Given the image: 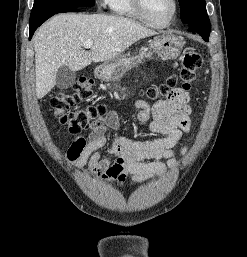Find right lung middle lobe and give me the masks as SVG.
Segmentation results:
<instances>
[{
  "mask_svg": "<svg viewBox=\"0 0 247 257\" xmlns=\"http://www.w3.org/2000/svg\"><path fill=\"white\" fill-rule=\"evenodd\" d=\"M94 4V0H34L30 19L53 10L90 7Z\"/></svg>",
  "mask_w": 247,
  "mask_h": 257,
  "instance_id": "1",
  "label": "right lung middle lobe"
}]
</instances>
